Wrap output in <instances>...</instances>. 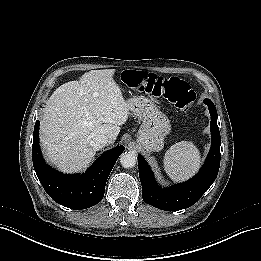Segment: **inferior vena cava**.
<instances>
[{
    "instance_id": "obj_1",
    "label": "inferior vena cava",
    "mask_w": 261,
    "mask_h": 261,
    "mask_svg": "<svg viewBox=\"0 0 261 261\" xmlns=\"http://www.w3.org/2000/svg\"><path fill=\"white\" fill-rule=\"evenodd\" d=\"M92 143L95 150H100L109 143V139L106 135H98L93 138Z\"/></svg>"
}]
</instances>
